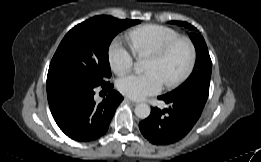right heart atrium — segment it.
Instances as JSON below:
<instances>
[{"label": "right heart atrium", "mask_w": 261, "mask_h": 162, "mask_svg": "<svg viewBox=\"0 0 261 162\" xmlns=\"http://www.w3.org/2000/svg\"><path fill=\"white\" fill-rule=\"evenodd\" d=\"M108 59L111 69L118 75L128 72L134 62V53L121 39L115 40L108 51Z\"/></svg>", "instance_id": "obj_1"}]
</instances>
